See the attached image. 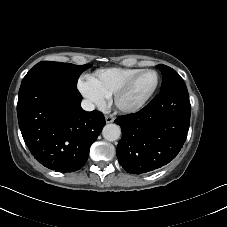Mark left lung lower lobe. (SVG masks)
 Instances as JSON below:
<instances>
[{"instance_id":"left-lung-lower-lobe-1","label":"left lung lower lobe","mask_w":227,"mask_h":227,"mask_svg":"<svg viewBox=\"0 0 227 227\" xmlns=\"http://www.w3.org/2000/svg\"><path fill=\"white\" fill-rule=\"evenodd\" d=\"M191 105L187 88L161 91L143 109L115 120L122 130L116 154L131 174L158 169L181 150L190 125Z\"/></svg>"}]
</instances>
